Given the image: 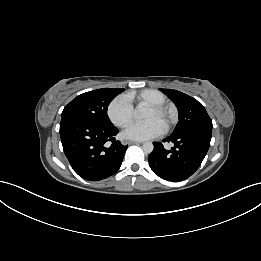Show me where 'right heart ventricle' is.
<instances>
[{
  "mask_svg": "<svg viewBox=\"0 0 261 261\" xmlns=\"http://www.w3.org/2000/svg\"><path fill=\"white\" fill-rule=\"evenodd\" d=\"M130 102H135L137 104H164L166 102V97L163 93L154 89H145L140 92H132L127 95Z\"/></svg>",
  "mask_w": 261,
  "mask_h": 261,
  "instance_id": "1",
  "label": "right heart ventricle"
}]
</instances>
